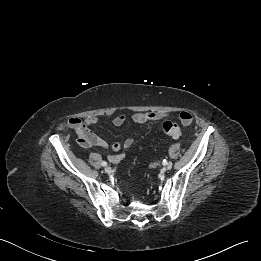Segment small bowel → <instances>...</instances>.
I'll use <instances>...</instances> for the list:
<instances>
[{"label":"small bowel","mask_w":261,"mask_h":261,"mask_svg":"<svg viewBox=\"0 0 261 261\" xmlns=\"http://www.w3.org/2000/svg\"><path fill=\"white\" fill-rule=\"evenodd\" d=\"M168 116L169 114L163 111L135 112L132 114L131 119L135 123L145 125L150 122L160 121ZM179 119L183 126H188L193 121V115L188 111H182L179 114ZM98 121L99 119L96 116H88L84 120L74 117L69 119L68 125L78 135V143L81 146L106 148L108 143L89 129V126L96 124ZM112 122L115 126H122L127 122V117L123 114H119L113 118ZM132 143L133 139L131 137H127L122 144L119 142H114L111 145V148L113 151L118 152L122 148H129ZM120 158L121 156L119 155L112 156L111 160L118 161Z\"/></svg>","instance_id":"1"}]
</instances>
